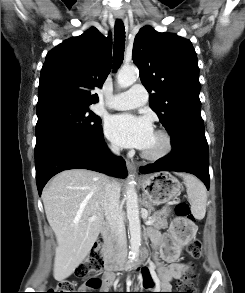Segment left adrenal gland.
<instances>
[{"mask_svg":"<svg viewBox=\"0 0 245 293\" xmlns=\"http://www.w3.org/2000/svg\"><path fill=\"white\" fill-rule=\"evenodd\" d=\"M143 201H144V206H145V207L150 206L149 203L146 201V197H144Z\"/></svg>","mask_w":245,"mask_h":293,"instance_id":"a2214340","label":"left adrenal gland"}]
</instances>
